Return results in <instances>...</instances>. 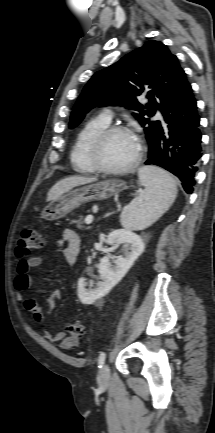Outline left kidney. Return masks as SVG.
Returning <instances> with one entry per match:
<instances>
[{
    "instance_id": "obj_1",
    "label": "left kidney",
    "mask_w": 215,
    "mask_h": 433,
    "mask_svg": "<svg viewBox=\"0 0 215 433\" xmlns=\"http://www.w3.org/2000/svg\"><path fill=\"white\" fill-rule=\"evenodd\" d=\"M108 244H122L124 256L117 258L112 266L109 258L103 257L98 271L102 278L95 288L86 289V279L79 278L77 294L83 304H93L97 299L105 296L128 272L135 260L144 251L142 238L129 229H117L107 237Z\"/></svg>"
}]
</instances>
